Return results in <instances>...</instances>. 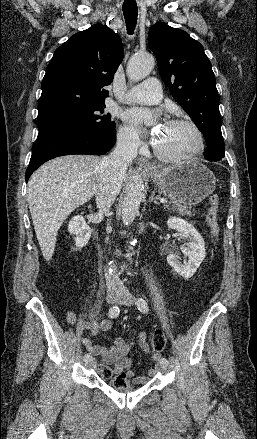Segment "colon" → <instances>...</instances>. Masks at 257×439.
Here are the masks:
<instances>
[{
  "label": "colon",
  "mask_w": 257,
  "mask_h": 439,
  "mask_svg": "<svg viewBox=\"0 0 257 439\" xmlns=\"http://www.w3.org/2000/svg\"><path fill=\"white\" fill-rule=\"evenodd\" d=\"M209 207L206 214V222L209 228V232L213 242H216L219 236L218 225V209H219V197L213 194L209 197ZM167 344V338L163 331L157 330L153 334L151 340V351L153 353H159L163 351ZM101 375L106 380H111V384L117 388H128L129 380L124 373L115 374L111 368H106L101 372Z\"/></svg>",
  "instance_id": "colon-1"
}]
</instances>
